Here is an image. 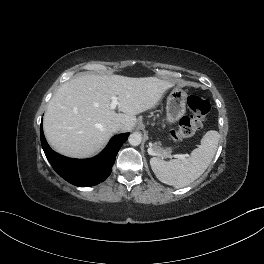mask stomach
<instances>
[{
	"label": "stomach",
	"mask_w": 264,
	"mask_h": 264,
	"mask_svg": "<svg viewBox=\"0 0 264 264\" xmlns=\"http://www.w3.org/2000/svg\"><path fill=\"white\" fill-rule=\"evenodd\" d=\"M187 93L179 87H174L167 98V121L177 122L186 112Z\"/></svg>",
	"instance_id": "1"
}]
</instances>
